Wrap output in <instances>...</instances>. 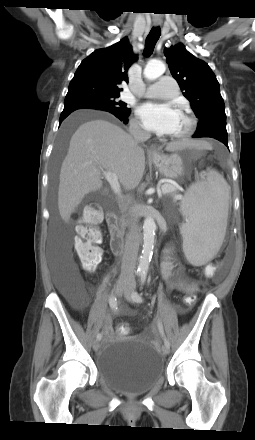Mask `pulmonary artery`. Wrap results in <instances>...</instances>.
<instances>
[{
  "label": "pulmonary artery",
  "mask_w": 255,
  "mask_h": 440,
  "mask_svg": "<svg viewBox=\"0 0 255 440\" xmlns=\"http://www.w3.org/2000/svg\"><path fill=\"white\" fill-rule=\"evenodd\" d=\"M143 95L149 98H173L178 95V85L173 77L162 76L157 83L149 86Z\"/></svg>",
  "instance_id": "1"
}]
</instances>
